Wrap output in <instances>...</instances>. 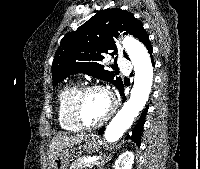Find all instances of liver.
Segmentation results:
<instances>
[{
    "label": "liver",
    "mask_w": 200,
    "mask_h": 169,
    "mask_svg": "<svg viewBox=\"0 0 200 169\" xmlns=\"http://www.w3.org/2000/svg\"><path fill=\"white\" fill-rule=\"evenodd\" d=\"M87 136L85 135H71V136H67V135H56L49 146V162H51L56 154L64 149L67 148L69 146H73L74 144H78L81 141H83Z\"/></svg>",
    "instance_id": "6515ba94"
}]
</instances>
